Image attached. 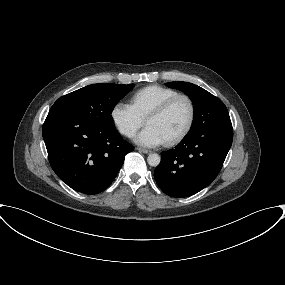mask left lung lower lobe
I'll return each mask as SVG.
<instances>
[{
	"label": "left lung lower lobe",
	"mask_w": 285,
	"mask_h": 285,
	"mask_svg": "<svg viewBox=\"0 0 285 285\" xmlns=\"http://www.w3.org/2000/svg\"><path fill=\"white\" fill-rule=\"evenodd\" d=\"M232 140V128H210L187 134L174 149L162 152L154 172L158 186L175 198L201 191L217 177Z\"/></svg>",
	"instance_id": "0a47b994"
}]
</instances>
